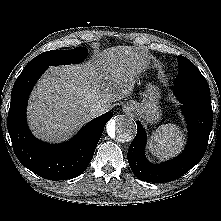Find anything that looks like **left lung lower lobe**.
<instances>
[{
	"mask_svg": "<svg viewBox=\"0 0 221 221\" xmlns=\"http://www.w3.org/2000/svg\"><path fill=\"white\" fill-rule=\"evenodd\" d=\"M173 92L182 103L189 131L187 147L177 158L151 164L144 154L146 134L137 122V135L128 149V162L137 178L163 183L176 180L193 168L203 157L213 123L210 90L206 80L174 82Z\"/></svg>",
	"mask_w": 221,
	"mask_h": 221,
	"instance_id": "left-lung-lower-lobe-1",
	"label": "left lung lower lobe"
}]
</instances>
